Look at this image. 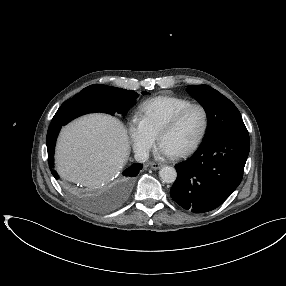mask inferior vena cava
Returning <instances> with one entry per match:
<instances>
[{"label": "inferior vena cava", "instance_id": "602c4592", "mask_svg": "<svg viewBox=\"0 0 286 286\" xmlns=\"http://www.w3.org/2000/svg\"><path fill=\"white\" fill-rule=\"evenodd\" d=\"M134 157H135V160H136L137 162L144 163L145 161L148 160V158H149V153H148L147 151H145V150H137V151L135 152Z\"/></svg>", "mask_w": 286, "mask_h": 286}]
</instances>
